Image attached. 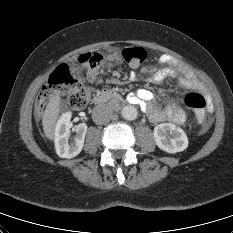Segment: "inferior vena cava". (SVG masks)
Returning a JSON list of instances; mask_svg holds the SVG:
<instances>
[{"instance_id": "obj_1", "label": "inferior vena cava", "mask_w": 233, "mask_h": 233, "mask_svg": "<svg viewBox=\"0 0 233 233\" xmlns=\"http://www.w3.org/2000/svg\"><path fill=\"white\" fill-rule=\"evenodd\" d=\"M92 118L96 124H107L113 118V110L108 104H99L93 109Z\"/></svg>"}]
</instances>
